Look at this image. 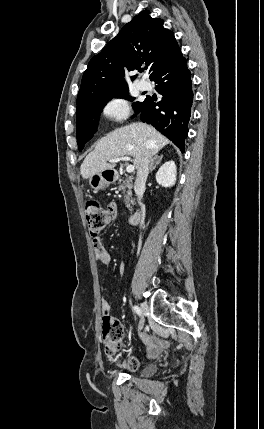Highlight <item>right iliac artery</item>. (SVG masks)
Masks as SVG:
<instances>
[{
    "instance_id": "obj_1",
    "label": "right iliac artery",
    "mask_w": 264,
    "mask_h": 429,
    "mask_svg": "<svg viewBox=\"0 0 264 429\" xmlns=\"http://www.w3.org/2000/svg\"><path fill=\"white\" fill-rule=\"evenodd\" d=\"M133 310L140 316V314L142 313L141 312V309L138 307V306H133Z\"/></svg>"
}]
</instances>
